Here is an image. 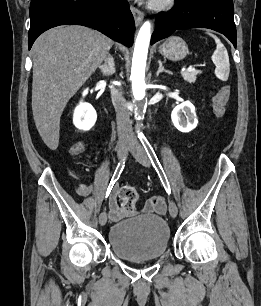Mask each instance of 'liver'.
I'll use <instances>...</instances> for the list:
<instances>
[{"instance_id":"liver-1","label":"liver","mask_w":261,"mask_h":306,"mask_svg":"<svg viewBox=\"0 0 261 306\" xmlns=\"http://www.w3.org/2000/svg\"><path fill=\"white\" fill-rule=\"evenodd\" d=\"M111 47V39L79 25L52 28L33 44V118L51 150L59 145L60 118L67 102L105 60Z\"/></svg>"}]
</instances>
